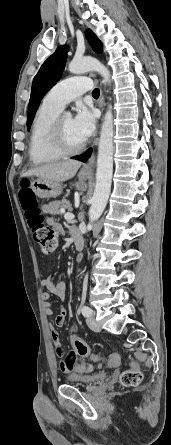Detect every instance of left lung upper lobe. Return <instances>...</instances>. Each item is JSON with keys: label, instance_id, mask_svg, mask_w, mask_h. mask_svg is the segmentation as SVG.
I'll return each instance as SVG.
<instances>
[{"label": "left lung upper lobe", "instance_id": "left-lung-upper-lobe-1", "mask_svg": "<svg viewBox=\"0 0 171 445\" xmlns=\"http://www.w3.org/2000/svg\"><path fill=\"white\" fill-rule=\"evenodd\" d=\"M86 38L90 42L93 50L102 53L103 46L97 36L89 29L86 32ZM67 46H59L56 51L49 56L40 67L34 77L31 89V96L28 107L27 129H30L34 115L40 105L44 95L60 80L65 68L67 59Z\"/></svg>", "mask_w": 171, "mask_h": 445}]
</instances>
